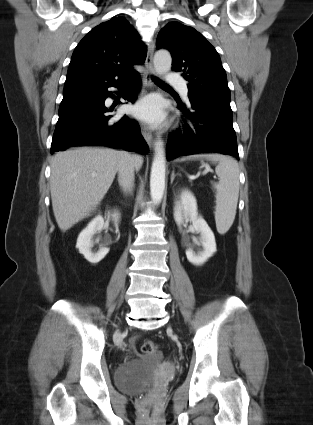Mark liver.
Listing matches in <instances>:
<instances>
[{"label": "liver", "instance_id": "1", "mask_svg": "<svg viewBox=\"0 0 313 425\" xmlns=\"http://www.w3.org/2000/svg\"><path fill=\"white\" fill-rule=\"evenodd\" d=\"M125 151L81 147L58 152L51 162L50 191L56 222L69 230L90 216L109 190ZM135 168L143 158L132 155Z\"/></svg>", "mask_w": 313, "mask_h": 425}]
</instances>
